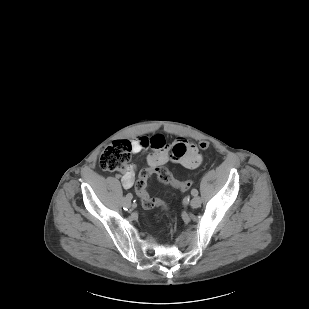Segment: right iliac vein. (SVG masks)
Listing matches in <instances>:
<instances>
[{"instance_id": "obj_1", "label": "right iliac vein", "mask_w": 309, "mask_h": 309, "mask_svg": "<svg viewBox=\"0 0 309 309\" xmlns=\"http://www.w3.org/2000/svg\"><path fill=\"white\" fill-rule=\"evenodd\" d=\"M132 198L131 199H124V205L127 206V207H131L133 204H132Z\"/></svg>"}]
</instances>
